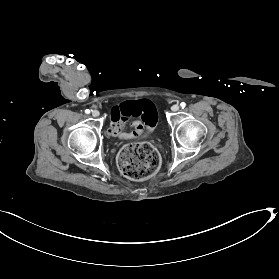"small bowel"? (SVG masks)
<instances>
[{
  "mask_svg": "<svg viewBox=\"0 0 279 279\" xmlns=\"http://www.w3.org/2000/svg\"><path fill=\"white\" fill-rule=\"evenodd\" d=\"M131 117H139L141 120L129 121ZM156 121V110L150 101L125 102L112 109L111 126L107 134L119 139L142 138L150 133ZM127 126L133 128L130 133L124 131Z\"/></svg>",
  "mask_w": 279,
  "mask_h": 279,
  "instance_id": "1",
  "label": "small bowel"
}]
</instances>
